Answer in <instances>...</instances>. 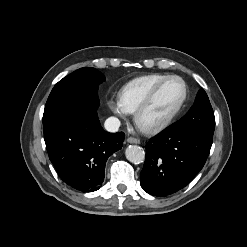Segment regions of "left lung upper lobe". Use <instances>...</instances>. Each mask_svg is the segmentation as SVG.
Returning a JSON list of instances; mask_svg holds the SVG:
<instances>
[{"label": "left lung upper lobe", "mask_w": 247, "mask_h": 247, "mask_svg": "<svg viewBox=\"0 0 247 247\" xmlns=\"http://www.w3.org/2000/svg\"><path fill=\"white\" fill-rule=\"evenodd\" d=\"M174 125L181 131L214 133L215 117L206 92L201 89L188 113Z\"/></svg>", "instance_id": "5c2ea615"}]
</instances>
